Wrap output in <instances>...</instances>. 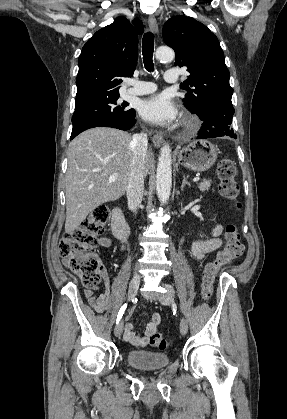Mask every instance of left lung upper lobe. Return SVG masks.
<instances>
[{"instance_id": "left-lung-upper-lobe-1", "label": "left lung upper lobe", "mask_w": 287, "mask_h": 419, "mask_svg": "<svg viewBox=\"0 0 287 419\" xmlns=\"http://www.w3.org/2000/svg\"><path fill=\"white\" fill-rule=\"evenodd\" d=\"M164 42L175 51V65L186 66L185 106L200 114L214 101H231L233 89L217 37L202 23L187 16L169 19L163 27Z\"/></svg>"}]
</instances>
